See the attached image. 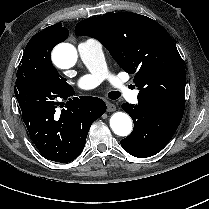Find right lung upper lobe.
<instances>
[{
	"instance_id": "1",
	"label": "right lung upper lobe",
	"mask_w": 209,
	"mask_h": 209,
	"mask_svg": "<svg viewBox=\"0 0 209 209\" xmlns=\"http://www.w3.org/2000/svg\"><path fill=\"white\" fill-rule=\"evenodd\" d=\"M41 32H48L49 38L55 42V46L58 43L63 42L69 35V31L66 28L62 27L61 23L49 26L39 33Z\"/></svg>"
}]
</instances>
